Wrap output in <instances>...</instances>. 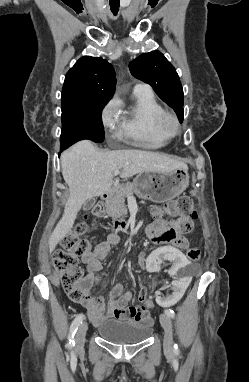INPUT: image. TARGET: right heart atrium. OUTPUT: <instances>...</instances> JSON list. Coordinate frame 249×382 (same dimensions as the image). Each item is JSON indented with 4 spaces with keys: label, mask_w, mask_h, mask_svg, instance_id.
<instances>
[{
    "label": "right heart atrium",
    "mask_w": 249,
    "mask_h": 382,
    "mask_svg": "<svg viewBox=\"0 0 249 382\" xmlns=\"http://www.w3.org/2000/svg\"><path fill=\"white\" fill-rule=\"evenodd\" d=\"M119 106L117 99H112L103 108L101 121L105 129L113 130L120 124Z\"/></svg>",
    "instance_id": "obj_1"
}]
</instances>
